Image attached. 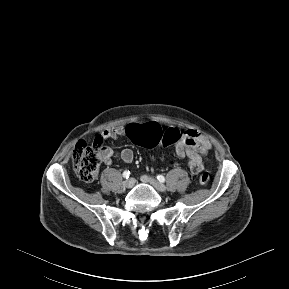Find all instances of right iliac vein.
<instances>
[{
  "label": "right iliac vein",
  "mask_w": 289,
  "mask_h": 289,
  "mask_svg": "<svg viewBox=\"0 0 289 289\" xmlns=\"http://www.w3.org/2000/svg\"><path fill=\"white\" fill-rule=\"evenodd\" d=\"M135 180L133 178H129L128 180L124 181V187L130 189L134 186Z\"/></svg>",
  "instance_id": "63e3f726"
}]
</instances>
